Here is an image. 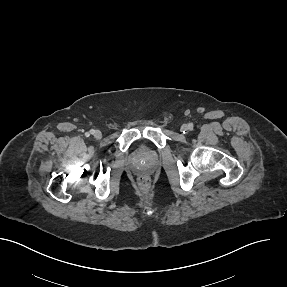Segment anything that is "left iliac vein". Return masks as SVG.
I'll return each mask as SVG.
<instances>
[{
	"label": "left iliac vein",
	"mask_w": 287,
	"mask_h": 287,
	"mask_svg": "<svg viewBox=\"0 0 287 287\" xmlns=\"http://www.w3.org/2000/svg\"><path fill=\"white\" fill-rule=\"evenodd\" d=\"M182 131H188L189 130V126L187 124H183L181 127Z\"/></svg>",
	"instance_id": "4c4485c4"
}]
</instances>
